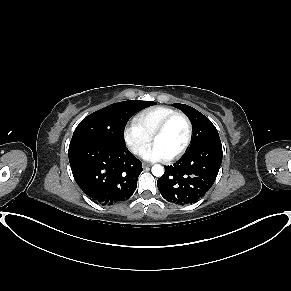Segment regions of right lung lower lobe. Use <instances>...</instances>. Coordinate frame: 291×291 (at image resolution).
<instances>
[{"label": "right lung lower lobe", "mask_w": 291, "mask_h": 291, "mask_svg": "<svg viewBox=\"0 0 291 291\" xmlns=\"http://www.w3.org/2000/svg\"><path fill=\"white\" fill-rule=\"evenodd\" d=\"M68 157L78 186L102 205L129 199L143 171L141 161L126 146L78 143L69 146Z\"/></svg>", "instance_id": "98d812e1"}]
</instances>
